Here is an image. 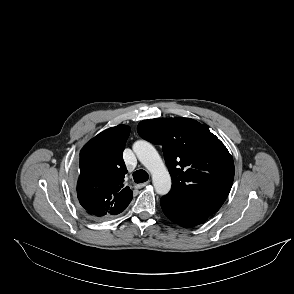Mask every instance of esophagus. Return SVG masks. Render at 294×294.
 <instances>
[{"instance_id":"obj_1","label":"esophagus","mask_w":294,"mask_h":294,"mask_svg":"<svg viewBox=\"0 0 294 294\" xmlns=\"http://www.w3.org/2000/svg\"><path fill=\"white\" fill-rule=\"evenodd\" d=\"M148 181L147 182H144V183H141V184H137V185H135V188H137V189H140V188H143V187H145L146 185H148Z\"/></svg>"}]
</instances>
